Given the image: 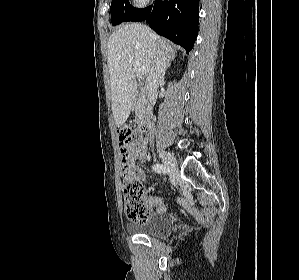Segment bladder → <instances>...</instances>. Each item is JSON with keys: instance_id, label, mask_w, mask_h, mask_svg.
<instances>
[{"instance_id": "31cf9c89", "label": "bladder", "mask_w": 299, "mask_h": 280, "mask_svg": "<svg viewBox=\"0 0 299 280\" xmlns=\"http://www.w3.org/2000/svg\"><path fill=\"white\" fill-rule=\"evenodd\" d=\"M172 228V221L163 214L154 215L144 223L130 224L127 226V230L131 234L148 237L166 236L172 231Z\"/></svg>"}]
</instances>
